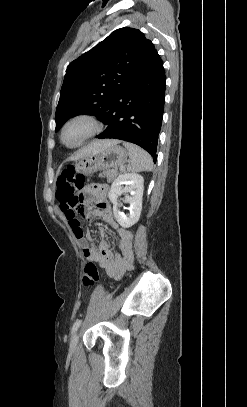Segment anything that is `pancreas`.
<instances>
[{"mask_svg":"<svg viewBox=\"0 0 247 407\" xmlns=\"http://www.w3.org/2000/svg\"><path fill=\"white\" fill-rule=\"evenodd\" d=\"M117 172L115 170H107L99 174L100 177H106L107 182H112L117 177Z\"/></svg>","mask_w":247,"mask_h":407,"instance_id":"pancreas-1","label":"pancreas"}]
</instances>
